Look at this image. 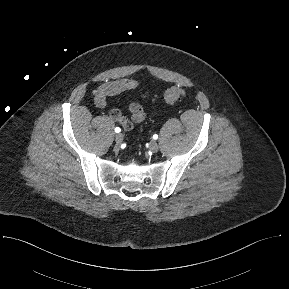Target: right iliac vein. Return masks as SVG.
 <instances>
[{
  "instance_id": "right-iliac-vein-1",
  "label": "right iliac vein",
  "mask_w": 289,
  "mask_h": 289,
  "mask_svg": "<svg viewBox=\"0 0 289 289\" xmlns=\"http://www.w3.org/2000/svg\"><path fill=\"white\" fill-rule=\"evenodd\" d=\"M115 142L117 145H120L123 142V135L121 133L116 134Z\"/></svg>"
}]
</instances>
